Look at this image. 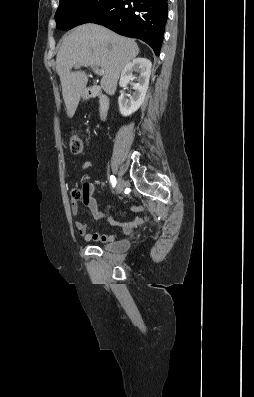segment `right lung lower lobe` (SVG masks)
I'll list each match as a JSON object with an SVG mask.
<instances>
[{
    "instance_id": "obj_1",
    "label": "right lung lower lobe",
    "mask_w": 254,
    "mask_h": 397,
    "mask_svg": "<svg viewBox=\"0 0 254 397\" xmlns=\"http://www.w3.org/2000/svg\"><path fill=\"white\" fill-rule=\"evenodd\" d=\"M167 18V0H114L102 15L89 23L141 39L159 56Z\"/></svg>"
}]
</instances>
